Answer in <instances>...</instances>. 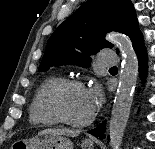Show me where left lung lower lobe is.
Segmentation results:
<instances>
[{
	"mask_svg": "<svg viewBox=\"0 0 155 149\" xmlns=\"http://www.w3.org/2000/svg\"><path fill=\"white\" fill-rule=\"evenodd\" d=\"M131 41L133 43V48L138 56L139 60V72L141 74L142 80H145L147 73V54L144 48V42L142 38V34L139 30H137L134 35L131 37ZM106 122H102L97 128L88 131V133L100 137L101 139L105 138L103 134L106 130Z\"/></svg>",
	"mask_w": 155,
	"mask_h": 149,
	"instance_id": "1",
	"label": "left lung lower lobe"
}]
</instances>
